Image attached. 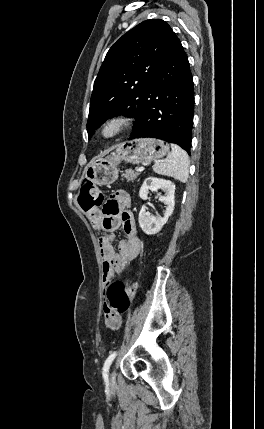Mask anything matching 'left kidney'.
Wrapping results in <instances>:
<instances>
[{"instance_id": "obj_1", "label": "left kidney", "mask_w": 264, "mask_h": 429, "mask_svg": "<svg viewBox=\"0 0 264 429\" xmlns=\"http://www.w3.org/2000/svg\"><path fill=\"white\" fill-rule=\"evenodd\" d=\"M158 189L166 192L164 196L159 197V200L166 205L164 216L151 215L146 211L145 205H143L138 217L139 225L147 235H154L160 232L174 210L175 186L169 180L156 177L146 178L140 188L139 196L141 199L146 200L149 190L156 191Z\"/></svg>"}]
</instances>
